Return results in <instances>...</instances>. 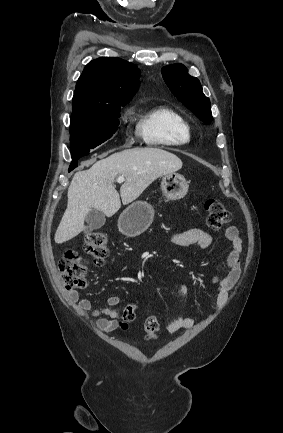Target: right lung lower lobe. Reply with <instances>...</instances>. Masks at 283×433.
Masks as SVG:
<instances>
[{"label":"right lung lower lobe","mask_w":283,"mask_h":433,"mask_svg":"<svg viewBox=\"0 0 283 433\" xmlns=\"http://www.w3.org/2000/svg\"><path fill=\"white\" fill-rule=\"evenodd\" d=\"M79 158H80V157L73 158V161H72V163L70 164V167H69V171H71V170H73L74 168L77 167V160H78Z\"/></svg>","instance_id":"right-lung-lower-lobe-1"}]
</instances>
